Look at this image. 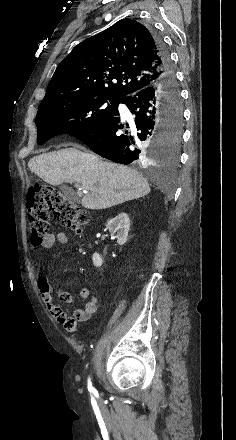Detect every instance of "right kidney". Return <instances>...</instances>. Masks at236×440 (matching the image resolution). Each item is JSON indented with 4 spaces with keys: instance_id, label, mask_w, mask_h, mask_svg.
<instances>
[{
    "instance_id": "obj_1",
    "label": "right kidney",
    "mask_w": 236,
    "mask_h": 440,
    "mask_svg": "<svg viewBox=\"0 0 236 440\" xmlns=\"http://www.w3.org/2000/svg\"><path fill=\"white\" fill-rule=\"evenodd\" d=\"M106 228L113 234L116 235L117 243L119 245H124L127 241L128 232L130 228V219L128 214L120 213L116 217L108 221ZM93 264L96 267H101L103 264V259L98 253H94Z\"/></svg>"
}]
</instances>
